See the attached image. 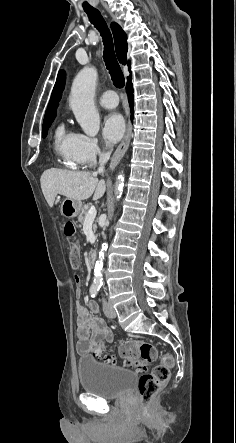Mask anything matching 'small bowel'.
I'll use <instances>...</instances> for the list:
<instances>
[{"mask_svg": "<svg viewBox=\"0 0 236 443\" xmlns=\"http://www.w3.org/2000/svg\"><path fill=\"white\" fill-rule=\"evenodd\" d=\"M77 286L80 285L81 279L75 276ZM76 295H81L80 288H77ZM99 308L95 302H90L87 306L81 302L76 303V325H77V352L79 354H86L92 351V348L99 342H112L113 335L106 327L104 321L96 314Z\"/></svg>", "mask_w": 236, "mask_h": 443, "instance_id": "obj_1", "label": "small bowel"}]
</instances>
